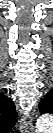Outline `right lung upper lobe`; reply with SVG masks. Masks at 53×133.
Listing matches in <instances>:
<instances>
[{
  "mask_svg": "<svg viewBox=\"0 0 53 133\" xmlns=\"http://www.w3.org/2000/svg\"><path fill=\"white\" fill-rule=\"evenodd\" d=\"M17 112L13 101L5 96L0 95V128L9 133L12 127L17 123Z\"/></svg>",
  "mask_w": 53,
  "mask_h": 133,
  "instance_id": "obj_1",
  "label": "right lung upper lobe"
}]
</instances>
